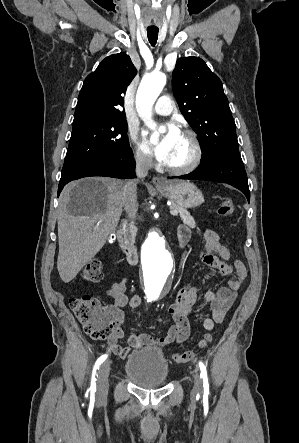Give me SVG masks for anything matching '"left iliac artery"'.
Returning a JSON list of instances; mask_svg holds the SVG:
<instances>
[{
  "mask_svg": "<svg viewBox=\"0 0 299 443\" xmlns=\"http://www.w3.org/2000/svg\"><path fill=\"white\" fill-rule=\"evenodd\" d=\"M199 367H200V371H201L200 376L203 379V387H204V390L207 391V390H209V383H208L206 366L204 365V363L202 361H199Z\"/></svg>",
  "mask_w": 299,
  "mask_h": 443,
  "instance_id": "1",
  "label": "left iliac artery"
}]
</instances>
